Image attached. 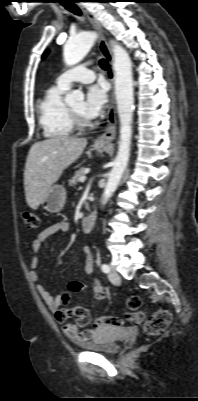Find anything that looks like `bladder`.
Returning <instances> with one entry per match:
<instances>
[{
	"mask_svg": "<svg viewBox=\"0 0 198 401\" xmlns=\"http://www.w3.org/2000/svg\"><path fill=\"white\" fill-rule=\"evenodd\" d=\"M122 332L123 329L120 327H104L95 339L84 344V348L93 352L115 355L121 348L118 338Z\"/></svg>",
	"mask_w": 198,
	"mask_h": 401,
	"instance_id": "31cf9c89",
	"label": "bladder"
}]
</instances>
